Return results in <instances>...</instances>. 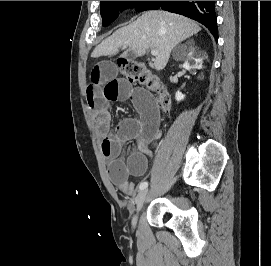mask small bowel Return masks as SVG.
<instances>
[{
	"instance_id": "small-bowel-1",
	"label": "small bowel",
	"mask_w": 271,
	"mask_h": 266,
	"mask_svg": "<svg viewBox=\"0 0 271 266\" xmlns=\"http://www.w3.org/2000/svg\"><path fill=\"white\" fill-rule=\"evenodd\" d=\"M86 100L93 111V123L102 138L103 155L110 160L109 175L112 183L127 195H133L131 177L142 176L148 168V146L160 136V118L150 94L135 88L118 77V70L111 62L96 64L86 88ZM129 100L137 110V117L122 119L111 131L109 106L117 101ZM137 141V149L127 159L121 158L123 145Z\"/></svg>"
}]
</instances>
